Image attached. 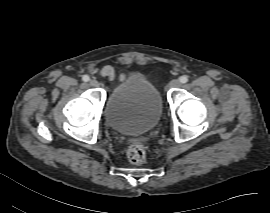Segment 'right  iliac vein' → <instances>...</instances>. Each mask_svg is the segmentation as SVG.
Returning a JSON list of instances; mask_svg holds the SVG:
<instances>
[{"mask_svg":"<svg viewBox=\"0 0 270 213\" xmlns=\"http://www.w3.org/2000/svg\"><path fill=\"white\" fill-rule=\"evenodd\" d=\"M90 85L92 87H97L99 84H98V81L96 79H91L90 80Z\"/></svg>","mask_w":270,"mask_h":213,"instance_id":"63e3f726","label":"right iliac vein"}]
</instances>
